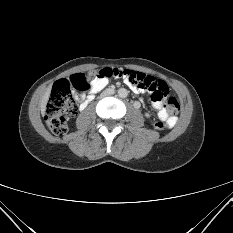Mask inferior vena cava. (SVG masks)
Returning a JSON list of instances; mask_svg holds the SVG:
<instances>
[{"mask_svg":"<svg viewBox=\"0 0 233 233\" xmlns=\"http://www.w3.org/2000/svg\"><path fill=\"white\" fill-rule=\"evenodd\" d=\"M113 93H114V90L111 87H108L106 90L102 91V96L108 97V96L113 95Z\"/></svg>","mask_w":233,"mask_h":233,"instance_id":"602c4592","label":"inferior vena cava"}]
</instances>
